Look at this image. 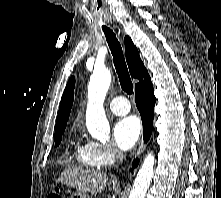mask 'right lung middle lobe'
Listing matches in <instances>:
<instances>
[{
    "label": "right lung middle lobe",
    "instance_id": "1",
    "mask_svg": "<svg viewBox=\"0 0 221 198\" xmlns=\"http://www.w3.org/2000/svg\"><path fill=\"white\" fill-rule=\"evenodd\" d=\"M64 130L65 128L55 132V145L56 146L60 144Z\"/></svg>",
    "mask_w": 221,
    "mask_h": 198
}]
</instances>
